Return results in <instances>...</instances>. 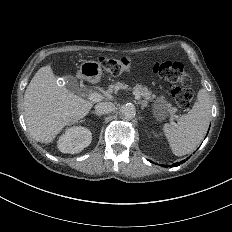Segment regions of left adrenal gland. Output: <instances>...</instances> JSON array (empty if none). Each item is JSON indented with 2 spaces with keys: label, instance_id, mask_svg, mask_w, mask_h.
I'll return each instance as SVG.
<instances>
[{
  "label": "left adrenal gland",
  "instance_id": "obj_1",
  "mask_svg": "<svg viewBox=\"0 0 232 232\" xmlns=\"http://www.w3.org/2000/svg\"><path fill=\"white\" fill-rule=\"evenodd\" d=\"M138 104H141V107L144 108L146 105H145V101H139Z\"/></svg>",
  "mask_w": 232,
  "mask_h": 232
}]
</instances>
